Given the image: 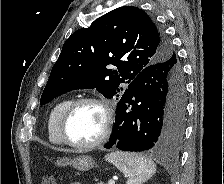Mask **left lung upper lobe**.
Returning a JSON list of instances; mask_svg holds the SVG:
<instances>
[{
	"mask_svg": "<svg viewBox=\"0 0 224 184\" xmlns=\"http://www.w3.org/2000/svg\"><path fill=\"white\" fill-rule=\"evenodd\" d=\"M172 57L177 59L170 42L144 11L119 7L67 39L40 103L73 89L96 88L106 98L120 97L122 83H130L144 68ZM176 65L181 66L178 59Z\"/></svg>",
	"mask_w": 224,
	"mask_h": 184,
	"instance_id": "1",
	"label": "left lung upper lobe"
}]
</instances>
